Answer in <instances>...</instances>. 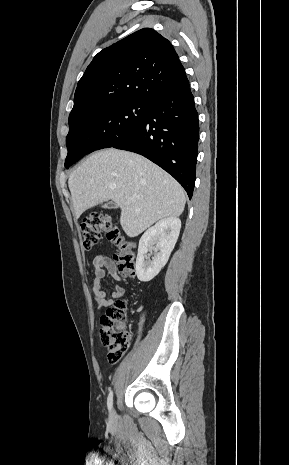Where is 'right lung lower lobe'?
<instances>
[{
  "label": "right lung lower lobe",
  "instance_id": "right-lung-lower-lobe-1",
  "mask_svg": "<svg viewBox=\"0 0 289 465\" xmlns=\"http://www.w3.org/2000/svg\"><path fill=\"white\" fill-rule=\"evenodd\" d=\"M199 121L189 85L150 101L145 120L111 147L143 155L171 174L191 199L196 177Z\"/></svg>",
  "mask_w": 289,
  "mask_h": 465
}]
</instances>
